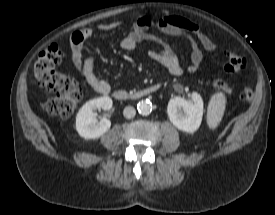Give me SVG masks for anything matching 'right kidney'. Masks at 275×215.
I'll return each mask as SVG.
<instances>
[{
    "label": "right kidney",
    "mask_w": 275,
    "mask_h": 215,
    "mask_svg": "<svg viewBox=\"0 0 275 215\" xmlns=\"http://www.w3.org/2000/svg\"><path fill=\"white\" fill-rule=\"evenodd\" d=\"M112 104V99L108 96L86 102L76 116V130L78 134L85 139H96L106 133L111 126L110 120L102 118L98 122L94 110H110Z\"/></svg>",
    "instance_id": "ca27d5eb"
}]
</instances>
